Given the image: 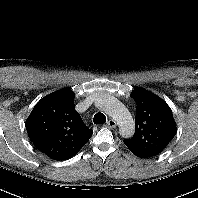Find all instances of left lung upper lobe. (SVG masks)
Segmentation results:
<instances>
[{
    "instance_id": "5c2ea615",
    "label": "left lung upper lobe",
    "mask_w": 198,
    "mask_h": 198,
    "mask_svg": "<svg viewBox=\"0 0 198 198\" xmlns=\"http://www.w3.org/2000/svg\"><path fill=\"white\" fill-rule=\"evenodd\" d=\"M131 97L137 105L135 133L124 144L135 155L160 154L176 134V124L167 103L144 88H136Z\"/></svg>"
}]
</instances>
